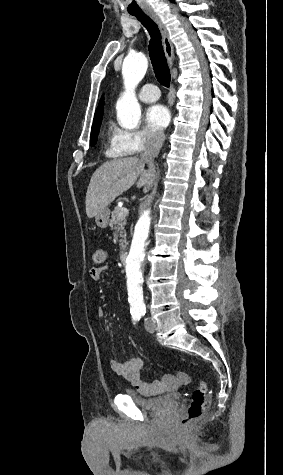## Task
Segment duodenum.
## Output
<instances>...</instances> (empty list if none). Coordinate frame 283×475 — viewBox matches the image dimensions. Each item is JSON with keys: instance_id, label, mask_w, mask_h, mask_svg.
I'll return each instance as SVG.
<instances>
[{"instance_id": "1", "label": "duodenum", "mask_w": 283, "mask_h": 475, "mask_svg": "<svg viewBox=\"0 0 283 475\" xmlns=\"http://www.w3.org/2000/svg\"><path fill=\"white\" fill-rule=\"evenodd\" d=\"M127 258H128V253L126 251L122 252L120 255V260L123 264L127 262Z\"/></svg>"}]
</instances>
